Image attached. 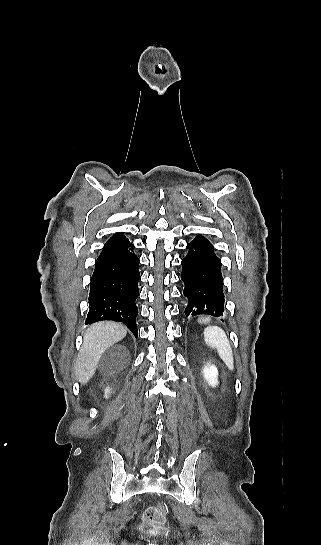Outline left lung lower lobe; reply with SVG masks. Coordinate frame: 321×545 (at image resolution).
<instances>
[{
    "label": "left lung lower lobe",
    "mask_w": 321,
    "mask_h": 545,
    "mask_svg": "<svg viewBox=\"0 0 321 545\" xmlns=\"http://www.w3.org/2000/svg\"><path fill=\"white\" fill-rule=\"evenodd\" d=\"M188 254L182 259L183 294L188 298L185 314L219 317L224 312L221 261L213 245L201 235L187 245Z\"/></svg>",
    "instance_id": "1"
}]
</instances>
